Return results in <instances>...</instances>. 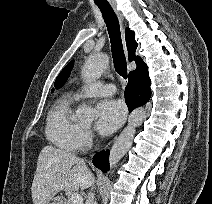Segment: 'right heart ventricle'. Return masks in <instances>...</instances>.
Instances as JSON below:
<instances>
[{"mask_svg":"<svg viewBox=\"0 0 212 204\" xmlns=\"http://www.w3.org/2000/svg\"><path fill=\"white\" fill-rule=\"evenodd\" d=\"M75 99L64 95L52 106L48 113L45 134L47 139L64 151L79 149L82 127L73 117Z\"/></svg>","mask_w":212,"mask_h":204,"instance_id":"e07e8e85","label":"right heart ventricle"}]
</instances>
